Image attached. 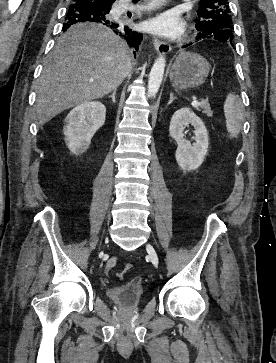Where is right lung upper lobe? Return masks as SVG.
I'll return each instance as SVG.
<instances>
[{
	"label": "right lung upper lobe",
	"instance_id": "right-lung-upper-lobe-1",
	"mask_svg": "<svg viewBox=\"0 0 276 363\" xmlns=\"http://www.w3.org/2000/svg\"><path fill=\"white\" fill-rule=\"evenodd\" d=\"M82 1H88L89 3H95L110 8L112 4L115 2V0H82Z\"/></svg>",
	"mask_w": 276,
	"mask_h": 363
}]
</instances>
